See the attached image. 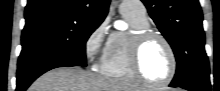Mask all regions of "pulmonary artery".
<instances>
[{"mask_svg":"<svg viewBox=\"0 0 220 91\" xmlns=\"http://www.w3.org/2000/svg\"><path fill=\"white\" fill-rule=\"evenodd\" d=\"M120 12L123 15H131L139 19H147L146 8L141 1L125 0L120 4Z\"/></svg>","mask_w":220,"mask_h":91,"instance_id":"1","label":"pulmonary artery"}]
</instances>
